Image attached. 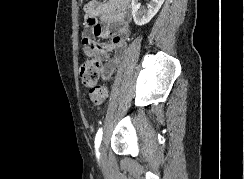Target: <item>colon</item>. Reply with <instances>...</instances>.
<instances>
[{
  "instance_id": "1",
  "label": "colon",
  "mask_w": 244,
  "mask_h": 179,
  "mask_svg": "<svg viewBox=\"0 0 244 179\" xmlns=\"http://www.w3.org/2000/svg\"><path fill=\"white\" fill-rule=\"evenodd\" d=\"M100 32V29H97ZM81 82L88 90V99L93 106H101L108 100V90L105 86L98 85L99 63L88 59L80 65Z\"/></svg>"
}]
</instances>
